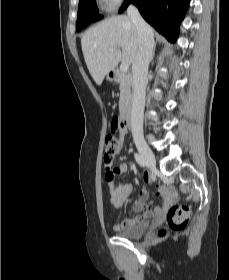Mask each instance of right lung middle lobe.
<instances>
[{"label": "right lung middle lobe", "mask_w": 229, "mask_h": 280, "mask_svg": "<svg viewBox=\"0 0 229 280\" xmlns=\"http://www.w3.org/2000/svg\"><path fill=\"white\" fill-rule=\"evenodd\" d=\"M95 0H79L76 30L80 31L93 21L100 20Z\"/></svg>", "instance_id": "obj_1"}]
</instances>
